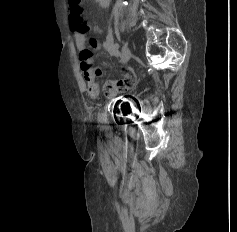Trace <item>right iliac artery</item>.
<instances>
[{
	"mask_svg": "<svg viewBox=\"0 0 237 232\" xmlns=\"http://www.w3.org/2000/svg\"><path fill=\"white\" fill-rule=\"evenodd\" d=\"M114 47L117 49L118 48V44H114Z\"/></svg>",
	"mask_w": 237,
	"mask_h": 232,
	"instance_id": "1",
	"label": "right iliac artery"
}]
</instances>
